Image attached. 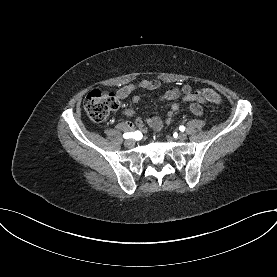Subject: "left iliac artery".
Instances as JSON below:
<instances>
[{
    "label": "left iliac artery",
    "instance_id": "left-iliac-artery-1",
    "mask_svg": "<svg viewBox=\"0 0 277 277\" xmlns=\"http://www.w3.org/2000/svg\"><path fill=\"white\" fill-rule=\"evenodd\" d=\"M179 129H180V131L183 132L185 130V127L184 126H180Z\"/></svg>",
    "mask_w": 277,
    "mask_h": 277
}]
</instances>
